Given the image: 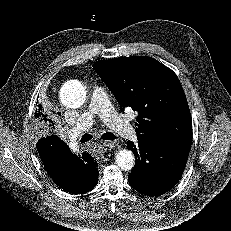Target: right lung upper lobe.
I'll return each mask as SVG.
<instances>
[{
	"instance_id": "right-lung-upper-lobe-1",
	"label": "right lung upper lobe",
	"mask_w": 231,
	"mask_h": 231,
	"mask_svg": "<svg viewBox=\"0 0 231 231\" xmlns=\"http://www.w3.org/2000/svg\"><path fill=\"white\" fill-rule=\"evenodd\" d=\"M35 118L38 122L42 123L44 122V120L46 121L47 118H46V115L43 113V110L41 109L40 106H38L36 108V111H35Z\"/></svg>"
}]
</instances>
